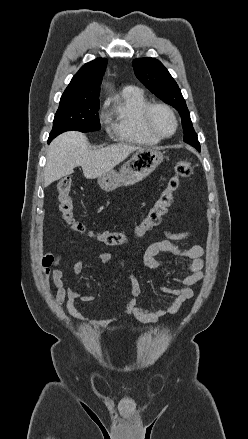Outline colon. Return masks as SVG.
<instances>
[{
    "label": "colon",
    "mask_w": 248,
    "mask_h": 439,
    "mask_svg": "<svg viewBox=\"0 0 248 439\" xmlns=\"http://www.w3.org/2000/svg\"><path fill=\"white\" fill-rule=\"evenodd\" d=\"M193 172V165L189 160H181L176 163L172 176L168 179L165 188L161 191L158 199L148 211L145 218L131 231H92L77 221L74 216V206L71 198V180L63 178L58 183L59 210L63 220L72 231L84 234L89 239L104 246H118L132 237H139L152 227L158 225L164 214L173 202L174 192L179 188L182 179L189 177Z\"/></svg>",
    "instance_id": "colon-1"
}]
</instances>
